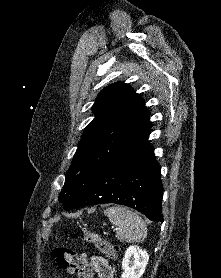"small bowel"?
I'll return each instance as SVG.
<instances>
[{
	"label": "small bowel",
	"mask_w": 221,
	"mask_h": 278,
	"mask_svg": "<svg viewBox=\"0 0 221 278\" xmlns=\"http://www.w3.org/2000/svg\"><path fill=\"white\" fill-rule=\"evenodd\" d=\"M83 258L88 266L90 275L92 270H94L98 273L99 278H114L112 267L105 258L101 256H93L90 260L85 256Z\"/></svg>",
	"instance_id": "1"
}]
</instances>
